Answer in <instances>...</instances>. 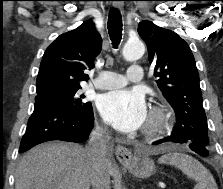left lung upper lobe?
Masks as SVG:
<instances>
[{
	"label": "left lung upper lobe",
	"mask_w": 223,
	"mask_h": 189,
	"mask_svg": "<svg viewBox=\"0 0 223 189\" xmlns=\"http://www.w3.org/2000/svg\"><path fill=\"white\" fill-rule=\"evenodd\" d=\"M154 76L164 97L176 113V126L168 138L176 143L208 147V125L202 105L199 74L188 44L175 32L151 21L139 23Z\"/></svg>",
	"instance_id": "1"
}]
</instances>
